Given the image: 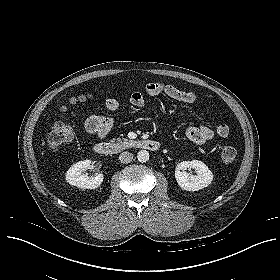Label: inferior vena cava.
<instances>
[{"instance_id":"602c4592","label":"inferior vena cava","mask_w":280,"mask_h":280,"mask_svg":"<svg viewBox=\"0 0 280 280\" xmlns=\"http://www.w3.org/2000/svg\"><path fill=\"white\" fill-rule=\"evenodd\" d=\"M133 159V154L130 152H122L119 155V160L121 163H130Z\"/></svg>"}]
</instances>
